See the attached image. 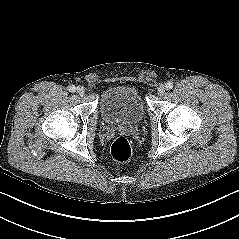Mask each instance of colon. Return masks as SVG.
Returning <instances> with one entry per match:
<instances>
[{
	"mask_svg": "<svg viewBox=\"0 0 239 239\" xmlns=\"http://www.w3.org/2000/svg\"><path fill=\"white\" fill-rule=\"evenodd\" d=\"M111 155L119 162H126L132 155L131 144L124 136H118L111 145Z\"/></svg>",
	"mask_w": 239,
	"mask_h": 239,
	"instance_id": "1",
	"label": "colon"
}]
</instances>
